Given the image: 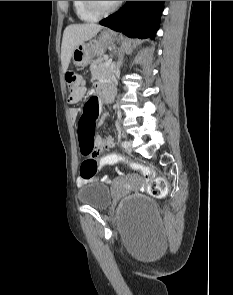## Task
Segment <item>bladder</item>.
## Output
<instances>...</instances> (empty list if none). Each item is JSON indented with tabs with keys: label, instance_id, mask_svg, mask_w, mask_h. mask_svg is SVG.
<instances>
[{
	"label": "bladder",
	"instance_id": "31cf9c89",
	"mask_svg": "<svg viewBox=\"0 0 233 295\" xmlns=\"http://www.w3.org/2000/svg\"><path fill=\"white\" fill-rule=\"evenodd\" d=\"M79 202L96 210H106L112 195L109 188L101 182H91L82 186L77 193ZM121 213H140L148 221L157 219L156 205L148 197L133 195L126 197L120 204Z\"/></svg>",
	"mask_w": 233,
	"mask_h": 295
}]
</instances>
